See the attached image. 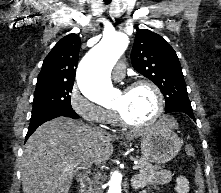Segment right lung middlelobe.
<instances>
[{
    "label": "right lung middle lobe",
    "instance_id": "right-lung-middle-lobe-1",
    "mask_svg": "<svg viewBox=\"0 0 221 193\" xmlns=\"http://www.w3.org/2000/svg\"><path fill=\"white\" fill-rule=\"evenodd\" d=\"M72 88L73 83L36 85L32 115L52 109L73 110L69 95Z\"/></svg>",
    "mask_w": 221,
    "mask_h": 193
}]
</instances>
